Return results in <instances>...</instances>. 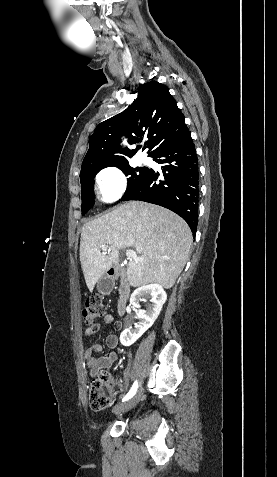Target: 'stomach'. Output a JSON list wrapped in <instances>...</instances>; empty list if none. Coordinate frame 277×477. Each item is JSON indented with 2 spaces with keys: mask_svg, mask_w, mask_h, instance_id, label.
Wrapping results in <instances>:
<instances>
[{
  "mask_svg": "<svg viewBox=\"0 0 277 477\" xmlns=\"http://www.w3.org/2000/svg\"><path fill=\"white\" fill-rule=\"evenodd\" d=\"M113 288V281L107 276H102L97 281V289L102 294L109 293Z\"/></svg>",
  "mask_w": 277,
  "mask_h": 477,
  "instance_id": "obj_1",
  "label": "stomach"
}]
</instances>
